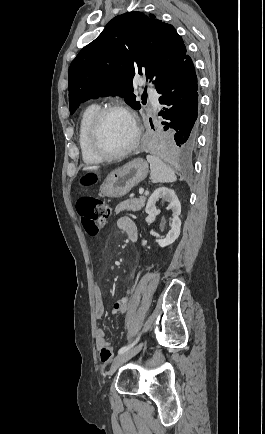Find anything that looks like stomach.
<instances>
[{
    "label": "stomach",
    "instance_id": "stomach-1",
    "mask_svg": "<svg viewBox=\"0 0 265 434\" xmlns=\"http://www.w3.org/2000/svg\"><path fill=\"white\" fill-rule=\"evenodd\" d=\"M147 174V162L143 158H135L122 168L111 172L100 186V192L107 198H121V196L128 194L133 186L142 182Z\"/></svg>",
    "mask_w": 265,
    "mask_h": 434
}]
</instances>
